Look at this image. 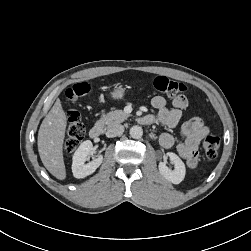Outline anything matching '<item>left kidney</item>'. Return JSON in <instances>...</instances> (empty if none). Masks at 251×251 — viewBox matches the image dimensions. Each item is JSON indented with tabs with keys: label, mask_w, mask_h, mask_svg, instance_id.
Wrapping results in <instances>:
<instances>
[{
	"label": "left kidney",
	"mask_w": 251,
	"mask_h": 251,
	"mask_svg": "<svg viewBox=\"0 0 251 251\" xmlns=\"http://www.w3.org/2000/svg\"><path fill=\"white\" fill-rule=\"evenodd\" d=\"M167 156H169L170 160L174 163L175 169L171 170L166 166L165 162H160L158 165L159 172L166 180L173 184H179L185 177V164L175 153L168 152Z\"/></svg>",
	"instance_id": "left-kidney-1"
}]
</instances>
